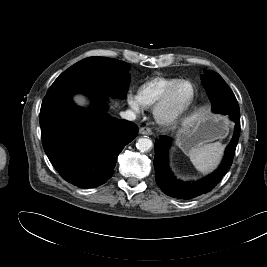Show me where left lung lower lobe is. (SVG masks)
Instances as JSON below:
<instances>
[{
  "mask_svg": "<svg viewBox=\"0 0 267 267\" xmlns=\"http://www.w3.org/2000/svg\"><path fill=\"white\" fill-rule=\"evenodd\" d=\"M215 113L230 116V119L236 123L235 131L230 144L226 148L220 167L199 181L182 182L177 180L168 166V152L171 138L160 136L155 141L154 168L156 172V183L165 194L179 199H192L213 189L230 168L240 135V111L238 103L230 101L228 107L217 109Z\"/></svg>",
  "mask_w": 267,
  "mask_h": 267,
  "instance_id": "1",
  "label": "left lung lower lobe"
}]
</instances>
